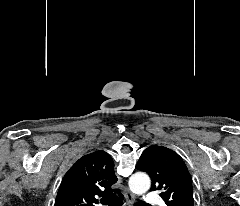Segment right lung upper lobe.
<instances>
[{
  "label": "right lung upper lobe",
  "instance_id": "right-lung-upper-lobe-1",
  "mask_svg": "<svg viewBox=\"0 0 240 206\" xmlns=\"http://www.w3.org/2000/svg\"><path fill=\"white\" fill-rule=\"evenodd\" d=\"M117 181L111 156L104 151L92 152L80 158L65 174L54 206H94L97 197L112 194V186Z\"/></svg>",
  "mask_w": 240,
  "mask_h": 206
}]
</instances>
